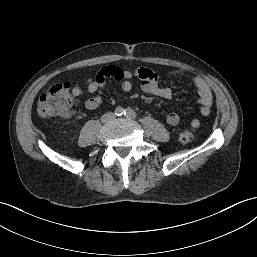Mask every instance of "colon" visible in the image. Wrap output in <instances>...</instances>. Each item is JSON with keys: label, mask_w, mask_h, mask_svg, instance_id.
<instances>
[{"label": "colon", "mask_w": 257, "mask_h": 257, "mask_svg": "<svg viewBox=\"0 0 257 257\" xmlns=\"http://www.w3.org/2000/svg\"><path fill=\"white\" fill-rule=\"evenodd\" d=\"M104 76L98 77V81L103 83ZM74 94L71 83L63 82L52 85L39 98L37 111L45 118L63 116L70 113L74 105ZM195 139L193 128H184L179 132L178 140L182 144H189Z\"/></svg>", "instance_id": "obj_1"}]
</instances>
